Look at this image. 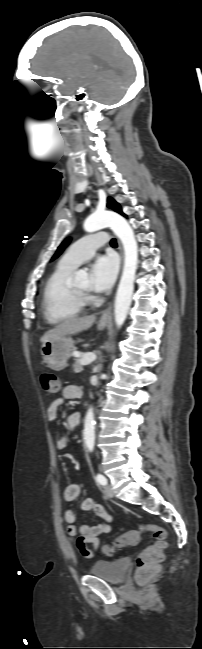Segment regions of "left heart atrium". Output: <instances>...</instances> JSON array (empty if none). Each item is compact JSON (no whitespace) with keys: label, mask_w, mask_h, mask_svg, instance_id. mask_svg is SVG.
<instances>
[{"label":"left heart atrium","mask_w":202,"mask_h":649,"mask_svg":"<svg viewBox=\"0 0 202 649\" xmlns=\"http://www.w3.org/2000/svg\"><path fill=\"white\" fill-rule=\"evenodd\" d=\"M118 262L112 255L98 257L90 270V289L97 292L108 291L115 282Z\"/></svg>","instance_id":"left-heart-atrium-1"}]
</instances>
